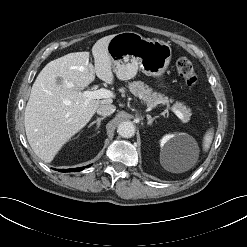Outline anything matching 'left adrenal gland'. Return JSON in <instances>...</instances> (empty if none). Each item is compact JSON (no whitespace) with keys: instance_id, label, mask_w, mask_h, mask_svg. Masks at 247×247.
<instances>
[{"instance_id":"a2214340","label":"left adrenal gland","mask_w":247,"mask_h":247,"mask_svg":"<svg viewBox=\"0 0 247 247\" xmlns=\"http://www.w3.org/2000/svg\"><path fill=\"white\" fill-rule=\"evenodd\" d=\"M158 116H155V117H151L150 115H147V124L148 125H152L153 121L157 118Z\"/></svg>"}]
</instances>
